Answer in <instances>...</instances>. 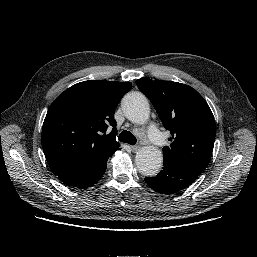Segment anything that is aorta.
Here are the masks:
<instances>
[{
  "instance_id": "1",
  "label": "aorta",
  "mask_w": 257,
  "mask_h": 257,
  "mask_svg": "<svg viewBox=\"0 0 257 257\" xmlns=\"http://www.w3.org/2000/svg\"><path fill=\"white\" fill-rule=\"evenodd\" d=\"M122 109L127 119L144 124L150 117V106L147 98L138 92L127 94L122 101ZM138 171L144 176H156L163 163L162 152L153 146H144L135 157Z\"/></svg>"
}]
</instances>
